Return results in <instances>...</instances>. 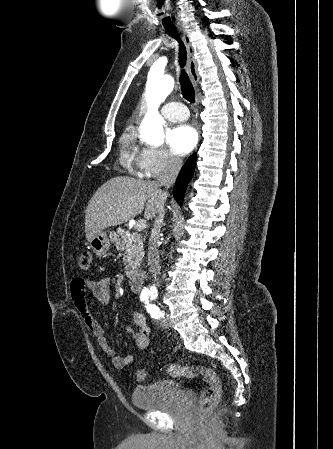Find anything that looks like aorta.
Returning a JSON list of instances; mask_svg holds the SVG:
<instances>
[{"label":"aorta","mask_w":333,"mask_h":449,"mask_svg":"<svg viewBox=\"0 0 333 449\" xmlns=\"http://www.w3.org/2000/svg\"><path fill=\"white\" fill-rule=\"evenodd\" d=\"M174 87L173 78L165 74L157 65H152L146 84V114L139 129V136L153 145H161L164 141L163 123L158 108L166 100Z\"/></svg>","instance_id":"762f6f07"}]
</instances>
